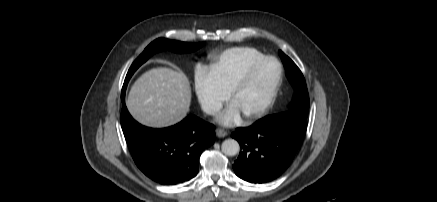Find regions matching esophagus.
Returning a JSON list of instances; mask_svg holds the SVG:
<instances>
[{
  "label": "esophagus",
  "mask_w": 437,
  "mask_h": 202,
  "mask_svg": "<svg viewBox=\"0 0 437 202\" xmlns=\"http://www.w3.org/2000/svg\"><path fill=\"white\" fill-rule=\"evenodd\" d=\"M227 134L228 133L223 129H220V128L216 129V135L219 138L225 137V136H227Z\"/></svg>",
  "instance_id": "obj_1"
}]
</instances>
